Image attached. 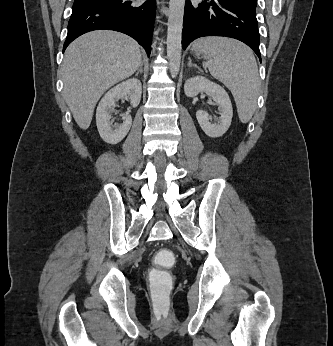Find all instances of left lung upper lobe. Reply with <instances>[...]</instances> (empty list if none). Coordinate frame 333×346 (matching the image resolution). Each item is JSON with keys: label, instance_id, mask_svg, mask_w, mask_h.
I'll return each instance as SVG.
<instances>
[{"label": "left lung upper lobe", "instance_id": "obj_1", "mask_svg": "<svg viewBox=\"0 0 333 346\" xmlns=\"http://www.w3.org/2000/svg\"><path fill=\"white\" fill-rule=\"evenodd\" d=\"M235 3L246 6L254 11H256L257 0H233Z\"/></svg>", "mask_w": 333, "mask_h": 346}]
</instances>
